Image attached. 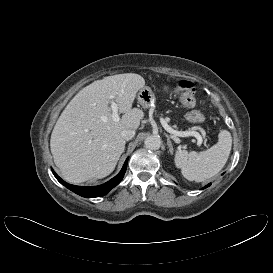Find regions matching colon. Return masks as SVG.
<instances>
[{"label":"colon","mask_w":273,"mask_h":273,"mask_svg":"<svg viewBox=\"0 0 273 273\" xmlns=\"http://www.w3.org/2000/svg\"><path fill=\"white\" fill-rule=\"evenodd\" d=\"M174 89L179 94L180 101L184 106L193 107L195 105V89L190 81L181 80L176 84ZM186 118L192 123H200L204 120V116L196 110L187 113Z\"/></svg>","instance_id":"1"}]
</instances>
